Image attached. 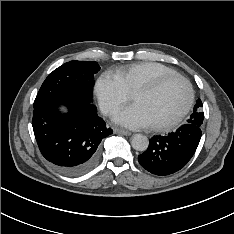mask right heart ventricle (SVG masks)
<instances>
[{
    "label": "right heart ventricle",
    "instance_id": "obj_1",
    "mask_svg": "<svg viewBox=\"0 0 234 234\" xmlns=\"http://www.w3.org/2000/svg\"><path fill=\"white\" fill-rule=\"evenodd\" d=\"M128 93H134L140 86L149 84L161 77L178 74L174 69L155 62L135 63L116 69Z\"/></svg>",
    "mask_w": 234,
    "mask_h": 234
}]
</instances>
